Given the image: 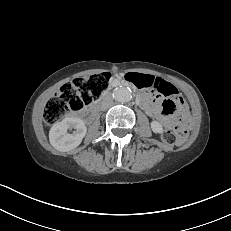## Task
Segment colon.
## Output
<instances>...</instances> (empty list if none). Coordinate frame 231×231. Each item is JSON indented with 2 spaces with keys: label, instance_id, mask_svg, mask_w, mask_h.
<instances>
[{
  "label": "colon",
  "instance_id": "1",
  "mask_svg": "<svg viewBox=\"0 0 231 231\" xmlns=\"http://www.w3.org/2000/svg\"><path fill=\"white\" fill-rule=\"evenodd\" d=\"M112 74L102 72L81 77L64 84L58 92L49 100L44 110V121L53 124L73 112L80 111L84 107L98 101L109 87ZM157 93L165 97L177 96V89L169 83H161ZM174 106L172 102L167 111ZM187 115L185 107L179 106V114L176 125L166 130L162 138L167 144L183 142L187 137Z\"/></svg>",
  "mask_w": 231,
  "mask_h": 231
}]
</instances>
